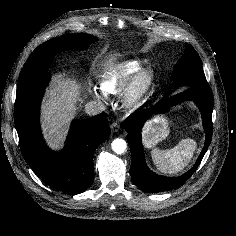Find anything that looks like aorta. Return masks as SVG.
Masks as SVG:
<instances>
[{"label": "aorta", "instance_id": "aorta-1", "mask_svg": "<svg viewBox=\"0 0 236 236\" xmlns=\"http://www.w3.org/2000/svg\"><path fill=\"white\" fill-rule=\"evenodd\" d=\"M127 144L123 139H115L112 142V149L116 154H122L125 152Z\"/></svg>", "mask_w": 236, "mask_h": 236}]
</instances>
